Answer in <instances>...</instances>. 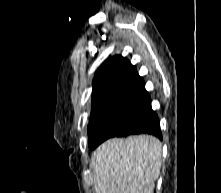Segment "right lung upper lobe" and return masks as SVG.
Wrapping results in <instances>:
<instances>
[{
    "label": "right lung upper lobe",
    "instance_id": "right-lung-upper-lobe-1",
    "mask_svg": "<svg viewBox=\"0 0 221 193\" xmlns=\"http://www.w3.org/2000/svg\"><path fill=\"white\" fill-rule=\"evenodd\" d=\"M121 101L151 99L135 67L128 59L116 55L105 61L94 77L91 114Z\"/></svg>",
    "mask_w": 221,
    "mask_h": 193
}]
</instances>
